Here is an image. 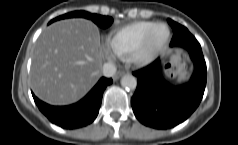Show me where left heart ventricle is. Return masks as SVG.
Listing matches in <instances>:
<instances>
[{"mask_svg":"<svg viewBox=\"0 0 238 145\" xmlns=\"http://www.w3.org/2000/svg\"><path fill=\"white\" fill-rule=\"evenodd\" d=\"M165 35L166 29L164 27L157 28L153 36L152 46L158 45L164 39Z\"/></svg>","mask_w":238,"mask_h":145,"instance_id":"left-heart-ventricle-1","label":"left heart ventricle"}]
</instances>
